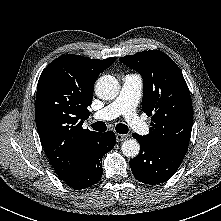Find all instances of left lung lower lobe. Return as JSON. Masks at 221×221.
<instances>
[{
	"label": "left lung lower lobe",
	"mask_w": 221,
	"mask_h": 221,
	"mask_svg": "<svg viewBox=\"0 0 221 221\" xmlns=\"http://www.w3.org/2000/svg\"><path fill=\"white\" fill-rule=\"evenodd\" d=\"M133 137L140 144V153L130 160L134 177L146 184L155 185L169 179L179 168L185 155L165 149L156 148L141 139L138 134Z\"/></svg>",
	"instance_id": "left-lung-lower-lobe-1"
}]
</instances>
